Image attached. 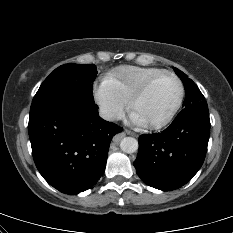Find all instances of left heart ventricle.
<instances>
[{
    "label": "left heart ventricle",
    "mask_w": 233,
    "mask_h": 233,
    "mask_svg": "<svg viewBox=\"0 0 233 233\" xmlns=\"http://www.w3.org/2000/svg\"><path fill=\"white\" fill-rule=\"evenodd\" d=\"M179 95V86L170 76L158 79L149 91L134 106L132 113L145 123L157 122L167 116L175 105Z\"/></svg>",
    "instance_id": "left-heart-ventricle-1"
}]
</instances>
